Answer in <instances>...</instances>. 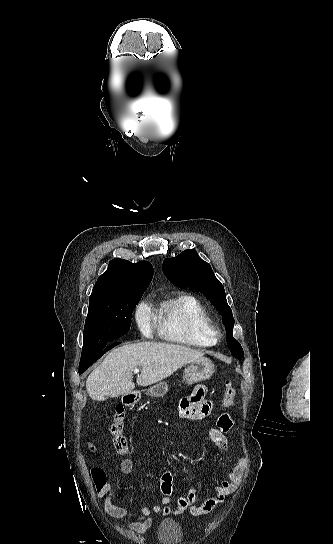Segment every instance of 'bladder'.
I'll use <instances>...</instances> for the list:
<instances>
[{"mask_svg": "<svg viewBox=\"0 0 333 544\" xmlns=\"http://www.w3.org/2000/svg\"><path fill=\"white\" fill-rule=\"evenodd\" d=\"M157 538L161 544H179L183 538L182 528L177 521L165 519L158 527Z\"/></svg>", "mask_w": 333, "mask_h": 544, "instance_id": "1", "label": "bladder"}]
</instances>
